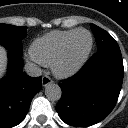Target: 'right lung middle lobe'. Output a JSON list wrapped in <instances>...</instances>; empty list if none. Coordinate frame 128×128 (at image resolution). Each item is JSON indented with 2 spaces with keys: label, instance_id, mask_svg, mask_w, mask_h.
Masks as SVG:
<instances>
[{
  "label": "right lung middle lobe",
  "instance_id": "dd1d6c3e",
  "mask_svg": "<svg viewBox=\"0 0 128 128\" xmlns=\"http://www.w3.org/2000/svg\"><path fill=\"white\" fill-rule=\"evenodd\" d=\"M27 27H17L9 24H0V44L12 53L22 56V39L26 36Z\"/></svg>",
  "mask_w": 128,
  "mask_h": 128
}]
</instances>
